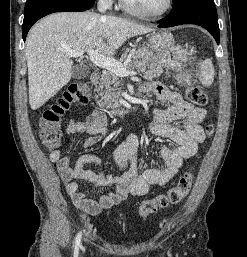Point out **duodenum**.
Here are the masks:
<instances>
[{
	"label": "duodenum",
	"mask_w": 247,
	"mask_h": 257,
	"mask_svg": "<svg viewBox=\"0 0 247 257\" xmlns=\"http://www.w3.org/2000/svg\"><path fill=\"white\" fill-rule=\"evenodd\" d=\"M99 79H100V75L98 72L91 73L90 82L92 85L97 84L99 82ZM139 91L143 92L142 86L140 87ZM110 112L115 116L125 117L131 113V109L128 107H119V108L111 109Z\"/></svg>",
	"instance_id": "obj_1"
}]
</instances>
